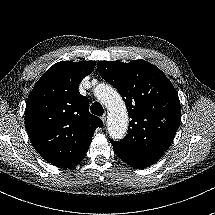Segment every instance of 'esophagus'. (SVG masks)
I'll return each instance as SVG.
<instances>
[{
	"label": "esophagus",
	"instance_id": "obj_1",
	"mask_svg": "<svg viewBox=\"0 0 215 215\" xmlns=\"http://www.w3.org/2000/svg\"><path fill=\"white\" fill-rule=\"evenodd\" d=\"M106 119H107V114L104 113L102 116H101V120L102 122L105 124L106 123Z\"/></svg>",
	"mask_w": 215,
	"mask_h": 215
}]
</instances>
